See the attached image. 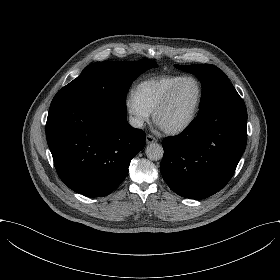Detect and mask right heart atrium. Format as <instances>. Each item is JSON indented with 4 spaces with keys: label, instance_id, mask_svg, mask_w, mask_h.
Listing matches in <instances>:
<instances>
[{
    "label": "right heart atrium",
    "instance_id": "right-heart-atrium-1",
    "mask_svg": "<svg viewBox=\"0 0 280 280\" xmlns=\"http://www.w3.org/2000/svg\"><path fill=\"white\" fill-rule=\"evenodd\" d=\"M125 108L129 115L133 116L137 123L143 124L149 121L151 112L143 107L137 100L134 93L127 96L125 101Z\"/></svg>",
    "mask_w": 280,
    "mask_h": 280
}]
</instances>
